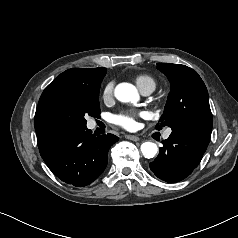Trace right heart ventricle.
<instances>
[{
  "mask_svg": "<svg viewBox=\"0 0 238 238\" xmlns=\"http://www.w3.org/2000/svg\"><path fill=\"white\" fill-rule=\"evenodd\" d=\"M134 81L141 91L146 89L154 90L156 87V80L149 74H138L134 77Z\"/></svg>",
  "mask_w": 238,
  "mask_h": 238,
  "instance_id": "e07e8e85",
  "label": "right heart ventricle"
}]
</instances>
